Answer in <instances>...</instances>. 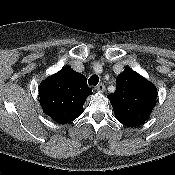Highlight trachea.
Wrapping results in <instances>:
<instances>
[{"mask_svg": "<svg viewBox=\"0 0 175 175\" xmlns=\"http://www.w3.org/2000/svg\"><path fill=\"white\" fill-rule=\"evenodd\" d=\"M88 83H89L90 86H96L99 83L98 75H96V74L92 75L89 78Z\"/></svg>", "mask_w": 175, "mask_h": 175, "instance_id": "1", "label": "trachea"}]
</instances>
